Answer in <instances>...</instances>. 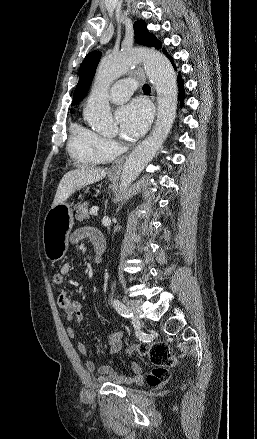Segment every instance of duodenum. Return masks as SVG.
I'll list each match as a JSON object with an SVG mask.
<instances>
[{"label": "duodenum", "mask_w": 257, "mask_h": 439, "mask_svg": "<svg viewBox=\"0 0 257 439\" xmlns=\"http://www.w3.org/2000/svg\"><path fill=\"white\" fill-rule=\"evenodd\" d=\"M105 251V242L103 240H97L94 243V253L96 261L99 262L102 254Z\"/></svg>", "instance_id": "410a0bca"}]
</instances>
